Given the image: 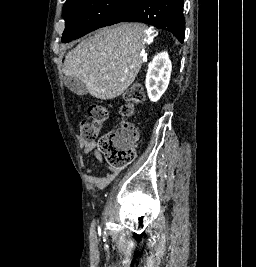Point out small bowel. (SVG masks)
<instances>
[{
  "label": "small bowel",
  "instance_id": "small-bowel-1",
  "mask_svg": "<svg viewBox=\"0 0 256 267\" xmlns=\"http://www.w3.org/2000/svg\"><path fill=\"white\" fill-rule=\"evenodd\" d=\"M81 145L84 149V155H88L89 153L93 152L95 159L100 163H104L101 150L94 140L83 138L81 139ZM107 168L108 171L105 175H98L94 169L88 168L85 175V180L88 186L94 187L98 190H103L104 188H106L118 175V170L116 168H113L111 166H108Z\"/></svg>",
  "mask_w": 256,
  "mask_h": 267
}]
</instances>
